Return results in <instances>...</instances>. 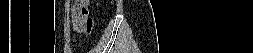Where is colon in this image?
Listing matches in <instances>:
<instances>
[{
    "instance_id": "1",
    "label": "colon",
    "mask_w": 253,
    "mask_h": 53,
    "mask_svg": "<svg viewBox=\"0 0 253 53\" xmlns=\"http://www.w3.org/2000/svg\"><path fill=\"white\" fill-rule=\"evenodd\" d=\"M72 22L76 30L89 32L92 28L90 9L86 1H76L72 8Z\"/></svg>"
}]
</instances>
